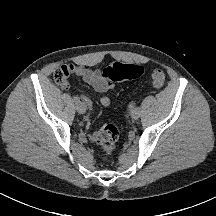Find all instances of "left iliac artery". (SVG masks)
Segmentation results:
<instances>
[{
  "mask_svg": "<svg viewBox=\"0 0 216 216\" xmlns=\"http://www.w3.org/2000/svg\"><path fill=\"white\" fill-rule=\"evenodd\" d=\"M129 108H130V109H133V108H135V103H133V102H132V103H130V104H129Z\"/></svg>",
  "mask_w": 216,
  "mask_h": 216,
  "instance_id": "1",
  "label": "left iliac artery"
}]
</instances>
